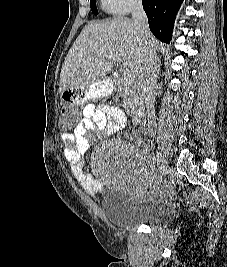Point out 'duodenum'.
I'll use <instances>...</instances> for the list:
<instances>
[{
  "mask_svg": "<svg viewBox=\"0 0 227 267\" xmlns=\"http://www.w3.org/2000/svg\"><path fill=\"white\" fill-rule=\"evenodd\" d=\"M111 81L115 85H119L121 83V76L119 74H115L111 77ZM129 112L132 116V118L135 121H138L142 118L143 113H144V107L143 106H138V107H130Z\"/></svg>",
  "mask_w": 227,
  "mask_h": 267,
  "instance_id": "duodenum-1",
  "label": "duodenum"
}]
</instances>
